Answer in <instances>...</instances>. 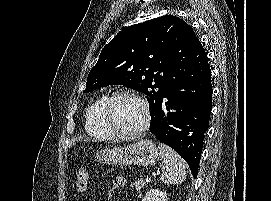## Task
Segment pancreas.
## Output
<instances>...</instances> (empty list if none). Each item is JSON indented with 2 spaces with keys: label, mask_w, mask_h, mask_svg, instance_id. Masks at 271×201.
<instances>
[{
  "label": "pancreas",
  "mask_w": 271,
  "mask_h": 201,
  "mask_svg": "<svg viewBox=\"0 0 271 201\" xmlns=\"http://www.w3.org/2000/svg\"><path fill=\"white\" fill-rule=\"evenodd\" d=\"M145 184L146 183L144 182L143 179H138L137 181H134L131 184V187L134 188V189H136L137 191H140Z\"/></svg>",
  "instance_id": "obj_1"
}]
</instances>
